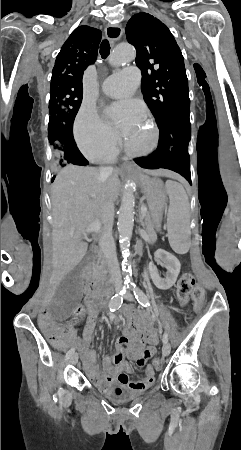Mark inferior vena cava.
I'll return each instance as SVG.
<instances>
[{
    "label": "inferior vena cava",
    "mask_w": 241,
    "mask_h": 450,
    "mask_svg": "<svg viewBox=\"0 0 241 450\" xmlns=\"http://www.w3.org/2000/svg\"><path fill=\"white\" fill-rule=\"evenodd\" d=\"M99 172L102 176H110L113 168H99ZM109 212H113L114 214V204H110ZM99 246L108 266L110 282L120 280L121 274L117 262L115 242L112 238V224L110 222H106L105 224L103 234L99 240Z\"/></svg>",
    "instance_id": "inferior-vena-cava-1"
}]
</instances>
